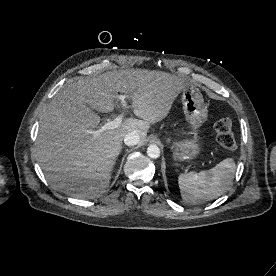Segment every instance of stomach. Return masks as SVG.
I'll return each instance as SVG.
<instances>
[{"label":"stomach","mask_w":276,"mask_h":276,"mask_svg":"<svg viewBox=\"0 0 276 276\" xmlns=\"http://www.w3.org/2000/svg\"><path fill=\"white\" fill-rule=\"evenodd\" d=\"M181 102L192 131L189 138L174 142L171 149L176 160L191 162L202 150L198 130L208 119V108L201 92L194 86H188L182 91Z\"/></svg>","instance_id":"0dacf381"}]
</instances>
